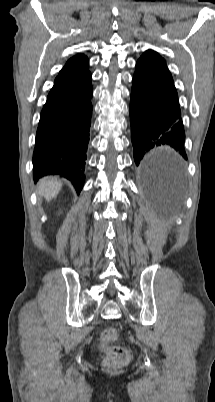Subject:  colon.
Here are the masks:
<instances>
[{"label":"colon","mask_w":215,"mask_h":402,"mask_svg":"<svg viewBox=\"0 0 215 402\" xmlns=\"http://www.w3.org/2000/svg\"><path fill=\"white\" fill-rule=\"evenodd\" d=\"M118 339V331L113 327L105 328L101 334V344L106 352L105 365L121 367L129 361V352L122 346L114 345Z\"/></svg>","instance_id":"1"}]
</instances>
